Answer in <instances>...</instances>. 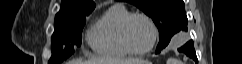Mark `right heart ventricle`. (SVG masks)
<instances>
[{"mask_svg": "<svg viewBox=\"0 0 242 64\" xmlns=\"http://www.w3.org/2000/svg\"><path fill=\"white\" fill-rule=\"evenodd\" d=\"M130 12L121 5L115 4L106 9L93 23L87 32V41L98 55L109 58H121L128 55L119 39L122 20Z\"/></svg>", "mask_w": 242, "mask_h": 64, "instance_id": "obj_1", "label": "right heart ventricle"}]
</instances>
